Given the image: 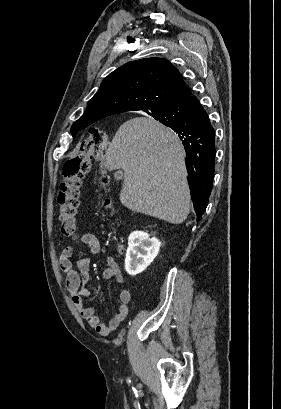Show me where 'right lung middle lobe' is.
Returning a JSON list of instances; mask_svg holds the SVG:
<instances>
[{"mask_svg":"<svg viewBox=\"0 0 281 409\" xmlns=\"http://www.w3.org/2000/svg\"><path fill=\"white\" fill-rule=\"evenodd\" d=\"M156 120H159L162 124L169 126L175 121V118L173 117H161V118H155ZM80 131L78 128H72L71 127V133L73 135V138H75L76 134Z\"/></svg>","mask_w":281,"mask_h":409,"instance_id":"right-lung-middle-lobe-1","label":"right lung middle lobe"}]
</instances>
